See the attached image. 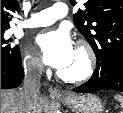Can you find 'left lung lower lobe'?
Segmentation results:
<instances>
[{
    "instance_id": "left-lung-lower-lobe-1",
    "label": "left lung lower lobe",
    "mask_w": 123,
    "mask_h": 113,
    "mask_svg": "<svg viewBox=\"0 0 123 113\" xmlns=\"http://www.w3.org/2000/svg\"><path fill=\"white\" fill-rule=\"evenodd\" d=\"M99 90L123 92V57L113 60L111 67L106 70L96 67L88 82L73 88L74 92L79 93H91Z\"/></svg>"
}]
</instances>
